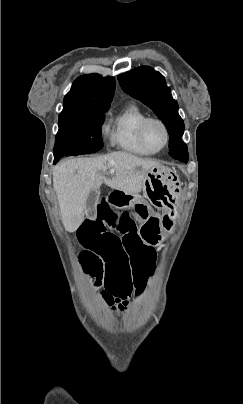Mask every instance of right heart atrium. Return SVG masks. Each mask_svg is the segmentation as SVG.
I'll return each instance as SVG.
<instances>
[{"instance_id":"1","label":"right heart atrium","mask_w":243,"mask_h":404,"mask_svg":"<svg viewBox=\"0 0 243 404\" xmlns=\"http://www.w3.org/2000/svg\"><path fill=\"white\" fill-rule=\"evenodd\" d=\"M99 136L108 147L113 146L111 126L106 118L99 125Z\"/></svg>"}]
</instances>
